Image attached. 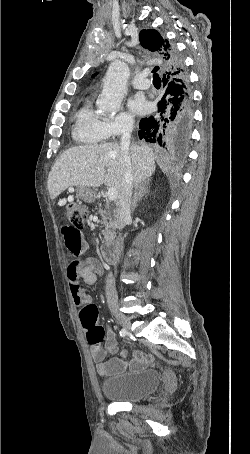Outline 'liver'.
I'll return each mask as SVG.
<instances>
[{
  "label": "liver",
  "mask_w": 250,
  "mask_h": 454,
  "mask_svg": "<svg viewBox=\"0 0 250 454\" xmlns=\"http://www.w3.org/2000/svg\"><path fill=\"white\" fill-rule=\"evenodd\" d=\"M133 182L138 186L155 171L154 154L147 145L130 146ZM123 162L118 143L83 145L67 149L56 160L48 176L51 199L69 187L115 188L118 199L122 192Z\"/></svg>",
  "instance_id": "obj_1"
}]
</instances>
